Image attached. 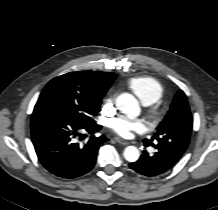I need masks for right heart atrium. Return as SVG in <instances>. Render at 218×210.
Here are the masks:
<instances>
[{
    "label": "right heart atrium",
    "instance_id": "right-heart-atrium-1",
    "mask_svg": "<svg viewBox=\"0 0 218 210\" xmlns=\"http://www.w3.org/2000/svg\"><path fill=\"white\" fill-rule=\"evenodd\" d=\"M113 103V97H108L105 101V108L109 109L111 108Z\"/></svg>",
    "mask_w": 218,
    "mask_h": 210
}]
</instances>
